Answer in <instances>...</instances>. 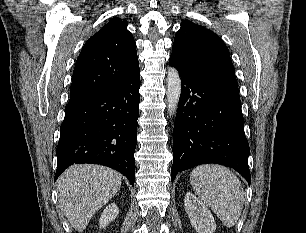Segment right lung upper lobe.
Here are the masks:
<instances>
[{
  "instance_id": "1",
  "label": "right lung upper lobe",
  "mask_w": 306,
  "mask_h": 233,
  "mask_svg": "<svg viewBox=\"0 0 306 233\" xmlns=\"http://www.w3.org/2000/svg\"><path fill=\"white\" fill-rule=\"evenodd\" d=\"M127 25L113 18L85 43L75 64L69 103L106 93L139 69L136 44Z\"/></svg>"
}]
</instances>
